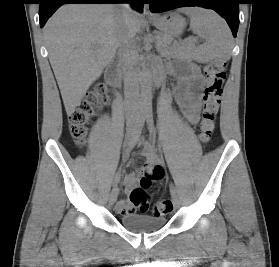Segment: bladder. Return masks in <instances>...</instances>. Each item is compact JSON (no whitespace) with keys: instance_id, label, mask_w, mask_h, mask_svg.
<instances>
[{"instance_id":"bladder-1","label":"bladder","mask_w":279,"mask_h":267,"mask_svg":"<svg viewBox=\"0 0 279 267\" xmlns=\"http://www.w3.org/2000/svg\"><path fill=\"white\" fill-rule=\"evenodd\" d=\"M124 228L135 232H153L162 229L166 223L164 217H154L144 214H125L120 217Z\"/></svg>"}]
</instances>
